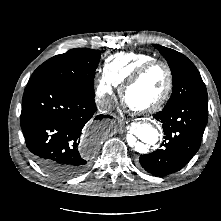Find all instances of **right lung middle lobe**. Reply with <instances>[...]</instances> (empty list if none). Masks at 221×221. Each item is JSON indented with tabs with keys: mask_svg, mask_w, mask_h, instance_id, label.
Instances as JSON below:
<instances>
[{
	"mask_svg": "<svg viewBox=\"0 0 221 221\" xmlns=\"http://www.w3.org/2000/svg\"><path fill=\"white\" fill-rule=\"evenodd\" d=\"M99 59L100 54L96 50L71 49L45 61L33 72L29 82L43 78L94 97V76Z\"/></svg>",
	"mask_w": 221,
	"mask_h": 221,
	"instance_id": "1",
	"label": "right lung middle lobe"
}]
</instances>
